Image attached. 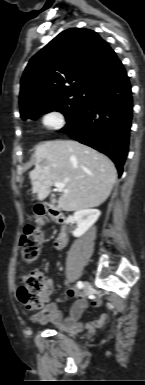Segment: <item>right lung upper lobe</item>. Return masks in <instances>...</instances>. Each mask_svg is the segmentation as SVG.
Here are the masks:
<instances>
[{
  "mask_svg": "<svg viewBox=\"0 0 145 385\" xmlns=\"http://www.w3.org/2000/svg\"><path fill=\"white\" fill-rule=\"evenodd\" d=\"M124 71L115 52L96 32L63 31L29 61L21 79V115L69 91H92Z\"/></svg>",
  "mask_w": 145,
  "mask_h": 385,
  "instance_id": "right-lung-upper-lobe-1",
  "label": "right lung upper lobe"
}]
</instances>
